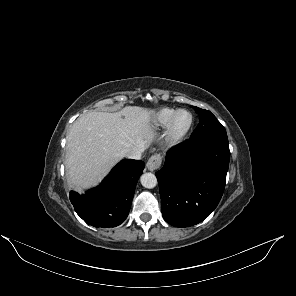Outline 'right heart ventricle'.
I'll return each instance as SVG.
<instances>
[{"instance_id":"right-heart-ventricle-1","label":"right heart ventricle","mask_w":296,"mask_h":296,"mask_svg":"<svg viewBox=\"0 0 296 296\" xmlns=\"http://www.w3.org/2000/svg\"><path fill=\"white\" fill-rule=\"evenodd\" d=\"M176 112L172 108H162L155 112L149 122V128L153 130H160L167 127L171 117Z\"/></svg>"}]
</instances>
